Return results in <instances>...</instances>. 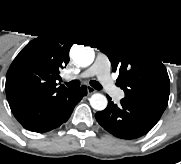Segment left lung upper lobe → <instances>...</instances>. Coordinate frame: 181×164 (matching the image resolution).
<instances>
[{
	"label": "left lung upper lobe",
	"mask_w": 181,
	"mask_h": 164,
	"mask_svg": "<svg viewBox=\"0 0 181 164\" xmlns=\"http://www.w3.org/2000/svg\"><path fill=\"white\" fill-rule=\"evenodd\" d=\"M92 42L108 56L113 71L119 72L116 85L124 90V99L165 110L170 93L169 76L144 40L118 30L99 29Z\"/></svg>",
	"instance_id": "5c2ea615"
}]
</instances>
